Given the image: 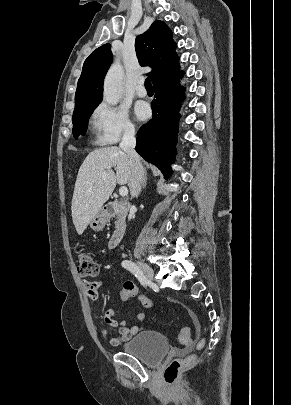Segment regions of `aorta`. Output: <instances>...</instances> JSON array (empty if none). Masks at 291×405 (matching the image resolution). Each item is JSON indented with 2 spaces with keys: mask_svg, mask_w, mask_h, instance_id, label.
I'll return each mask as SVG.
<instances>
[{
  "mask_svg": "<svg viewBox=\"0 0 291 405\" xmlns=\"http://www.w3.org/2000/svg\"><path fill=\"white\" fill-rule=\"evenodd\" d=\"M124 69L120 61H115L108 70L103 85L104 101L116 105L122 98Z\"/></svg>",
  "mask_w": 291,
  "mask_h": 405,
  "instance_id": "762f6f07",
  "label": "aorta"
}]
</instances>
